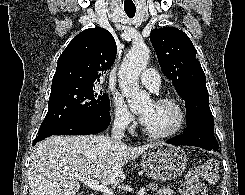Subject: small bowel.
<instances>
[{
  "label": "small bowel",
  "instance_id": "1",
  "mask_svg": "<svg viewBox=\"0 0 245 195\" xmlns=\"http://www.w3.org/2000/svg\"><path fill=\"white\" fill-rule=\"evenodd\" d=\"M157 195H174V192L171 188L163 187L158 191Z\"/></svg>",
  "mask_w": 245,
  "mask_h": 195
}]
</instances>
